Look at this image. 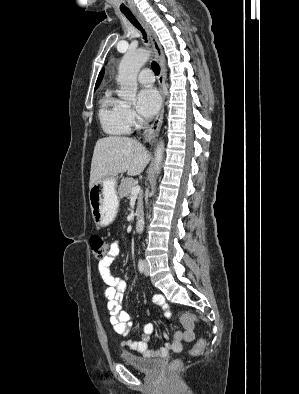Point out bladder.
I'll list each match as a JSON object with an SVG mask.
<instances>
[{
    "label": "bladder",
    "mask_w": 299,
    "mask_h": 394,
    "mask_svg": "<svg viewBox=\"0 0 299 394\" xmlns=\"http://www.w3.org/2000/svg\"><path fill=\"white\" fill-rule=\"evenodd\" d=\"M120 357L126 365L142 373H151L161 364L159 359L146 358L130 352H122Z\"/></svg>",
    "instance_id": "obj_1"
}]
</instances>
